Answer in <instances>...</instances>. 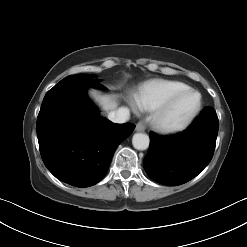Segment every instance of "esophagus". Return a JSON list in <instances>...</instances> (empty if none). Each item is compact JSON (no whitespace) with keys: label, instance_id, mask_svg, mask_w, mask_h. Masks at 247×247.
<instances>
[{"label":"esophagus","instance_id":"1","mask_svg":"<svg viewBox=\"0 0 247 247\" xmlns=\"http://www.w3.org/2000/svg\"><path fill=\"white\" fill-rule=\"evenodd\" d=\"M145 124L143 121H139L137 124H136V127H135V130L138 131V132H143L145 130Z\"/></svg>","mask_w":247,"mask_h":247}]
</instances>
